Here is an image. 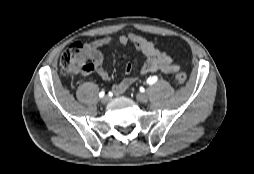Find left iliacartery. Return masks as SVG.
I'll return each mask as SVG.
<instances>
[{"label":"left iliac artery","instance_id":"left-iliac-artery-1","mask_svg":"<svg viewBox=\"0 0 254 174\" xmlns=\"http://www.w3.org/2000/svg\"><path fill=\"white\" fill-rule=\"evenodd\" d=\"M157 77L156 76H152V77H149L148 79H147V83L148 84H150V85H152V84H154L156 81H157Z\"/></svg>","mask_w":254,"mask_h":174}]
</instances>
